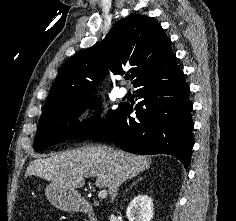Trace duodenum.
Wrapping results in <instances>:
<instances>
[{
	"label": "duodenum",
	"instance_id": "obj_1",
	"mask_svg": "<svg viewBox=\"0 0 236 221\" xmlns=\"http://www.w3.org/2000/svg\"><path fill=\"white\" fill-rule=\"evenodd\" d=\"M78 211L87 214L89 216L90 221H98L95 208L90 202L88 201L81 202L78 206Z\"/></svg>",
	"mask_w": 236,
	"mask_h": 221
}]
</instances>
